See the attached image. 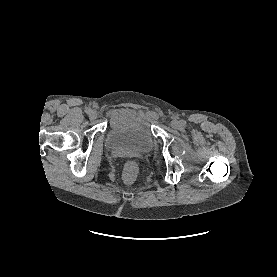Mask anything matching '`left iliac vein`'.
<instances>
[{
	"label": "left iliac vein",
	"instance_id": "left-iliac-vein-1",
	"mask_svg": "<svg viewBox=\"0 0 277 277\" xmlns=\"http://www.w3.org/2000/svg\"><path fill=\"white\" fill-rule=\"evenodd\" d=\"M170 125L174 129H179L181 127V123L178 120H172Z\"/></svg>",
	"mask_w": 277,
	"mask_h": 277
}]
</instances>
